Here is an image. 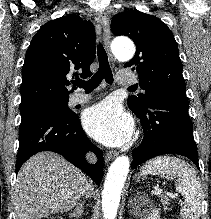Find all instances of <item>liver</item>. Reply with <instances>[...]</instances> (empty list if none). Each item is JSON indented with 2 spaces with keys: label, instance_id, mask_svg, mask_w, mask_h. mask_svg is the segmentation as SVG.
Masks as SVG:
<instances>
[{
  "label": "liver",
  "instance_id": "1",
  "mask_svg": "<svg viewBox=\"0 0 211 219\" xmlns=\"http://www.w3.org/2000/svg\"><path fill=\"white\" fill-rule=\"evenodd\" d=\"M90 191L91 181L78 168L58 154L40 152L18 172L13 198L16 219L70 211Z\"/></svg>",
  "mask_w": 211,
  "mask_h": 219
}]
</instances>
